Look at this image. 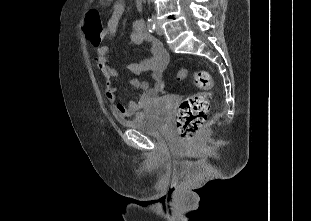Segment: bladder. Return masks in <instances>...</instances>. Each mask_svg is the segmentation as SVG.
Segmentation results:
<instances>
[{
    "instance_id": "bladder-1",
    "label": "bladder",
    "mask_w": 311,
    "mask_h": 221,
    "mask_svg": "<svg viewBox=\"0 0 311 221\" xmlns=\"http://www.w3.org/2000/svg\"><path fill=\"white\" fill-rule=\"evenodd\" d=\"M177 95L170 94L157 98L153 108H146L145 112L135 114L124 125L138 130L143 135H162L170 127V110Z\"/></svg>"
}]
</instances>
